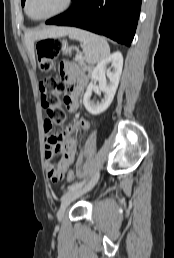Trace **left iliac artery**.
Listing matches in <instances>:
<instances>
[{
	"label": "left iliac artery",
	"mask_w": 174,
	"mask_h": 258,
	"mask_svg": "<svg viewBox=\"0 0 174 258\" xmlns=\"http://www.w3.org/2000/svg\"><path fill=\"white\" fill-rule=\"evenodd\" d=\"M84 184H85V180L68 186L67 190L70 191V190H74V189L80 188Z\"/></svg>",
	"instance_id": "left-iliac-artery-1"
}]
</instances>
